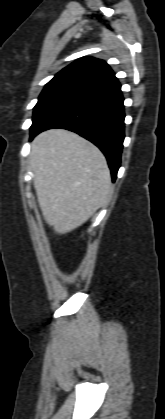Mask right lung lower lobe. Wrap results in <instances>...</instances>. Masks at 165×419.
<instances>
[{
  "label": "right lung lower lobe",
  "instance_id": "98d812e1",
  "mask_svg": "<svg viewBox=\"0 0 165 419\" xmlns=\"http://www.w3.org/2000/svg\"><path fill=\"white\" fill-rule=\"evenodd\" d=\"M123 101L121 85L118 82L83 95L49 114L31 131L30 139L51 128L76 132L101 149L115 181L124 140Z\"/></svg>",
  "mask_w": 165,
  "mask_h": 419
}]
</instances>
